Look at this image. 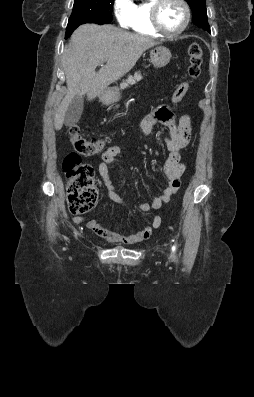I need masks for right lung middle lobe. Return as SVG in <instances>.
I'll return each mask as SVG.
<instances>
[{
  "mask_svg": "<svg viewBox=\"0 0 254 397\" xmlns=\"http://www.w3.org/2000/svg\"><path fill=\"white\" fill-rule=\"evenodd\" d=\"M113 3L114 0H75L67 27L84 23H110Z\"/></svg>",
  "mask_w": 254,
  "mask_h": 397,
  "instance_id": "1",
  "label": "right lung middle lobe"
}]
</instances>
